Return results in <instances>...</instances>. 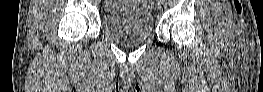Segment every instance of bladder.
Here are the masks:
<instances>
[{
	"label": "bladder",
	"mask_w": 263,
	"mask_h": 92,
	"mask_svg": "<svg viewBox=\"0 0 263 92\" xmlns=\"http://www.w3.org/2000/svg\"><path fill=\"white\" fill-rule=\"evenodd\" d=\"M124 6L115 5L103 15V25L114 41L126 45H136L146 40L153 32L154 22L151 12L143 1H122Z\"/></svg>",
	"instance_id": "bladder-1"
}]
</instances>
